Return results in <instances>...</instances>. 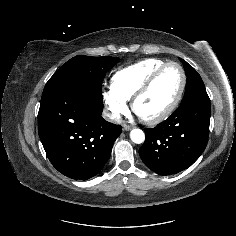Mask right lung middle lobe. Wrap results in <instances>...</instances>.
Instances as JSON below:
<instances>
[{"label":"right lung middle lobe","mask_w":236,"mask_h":236,"mask_svg":"<svg viewBox=\"0 0 236 236\" xmlns=\"http://www.w3.org/2000/svg\"><path fill=\"white\" fill-rule=\"evenodd\" d=\"M118 61V57L75 56L49 79L43 90L42 98L60 90L78 89L93 100L102 102L103 79Z\"/></svg>","instance_id":"right-lung-middle-lobe-1"}]
</instances>
